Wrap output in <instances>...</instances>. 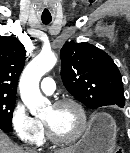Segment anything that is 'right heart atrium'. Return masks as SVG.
<instances>
[{
  "instance_id": "1",
  "label": "right heart atrium",
  "mask_w": 130,
  "mask_h": 153,
  "mask_svg": "<svg viewBox=\"0 0 130 153\" xmlns=\"http://www.w3.org/2000/svg\"><path fill=\"white\" fill-rule=\"evenodd\" d=\"M12 129L17 138L27 144H39L43 140L44 129L41 123L31 116L23 102L18 101L10 116Z\"/></svg>"
}]
</instances>
